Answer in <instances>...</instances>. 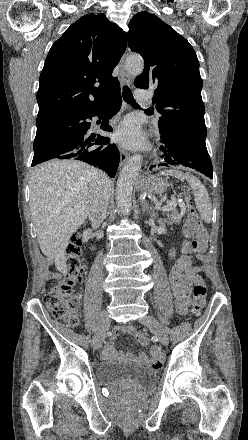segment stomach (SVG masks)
<instances>
[{
    "mask_svg": "<svg viewBox=\"0 0 248 440\" xmlns=\"http://www.w3.org/2000/svg\"><path fill=\"white\" fill-rule=\"evenodd\" d=\"M168 184L159 177L146 176L139 180L138 188L146 194H162L166 191Z\"/></svg>",
    "mask_w": 248,
    "mask_h": 440,
    "instance_id": "stomach-1",
    "label": "stomach"
}]
</instances>
